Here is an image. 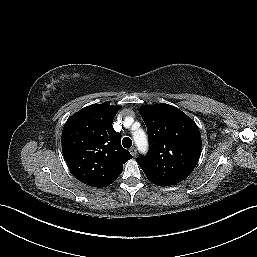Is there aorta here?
<instances>
[{
    "mask_svg": "<svg viewBox=\"0 0 257 257\" xmlns=\"http://www.w3.org/2000/svg\"><path fill=\"white\" fill-rule=\"evenodd\" d=\"M133 138L139 151L145 152L148 148V142L145 132L143 130H138L133 133Z\"/></svg>",
    "mask_w": 257,
    "mask_h": 257,
    "instance_id": "762f6f07",
    "label": "aorta"
}]
</instances>
